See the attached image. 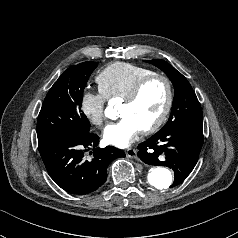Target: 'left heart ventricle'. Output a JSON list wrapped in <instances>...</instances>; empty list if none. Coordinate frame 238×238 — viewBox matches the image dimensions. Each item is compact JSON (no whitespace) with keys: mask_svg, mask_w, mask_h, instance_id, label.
<instances>
[{"mask_svg":"<svg viewBox=\"0 0 238 238\" xmlns=\"http://www.w3.org/2000/svg\"><path fill=\"white\" fill-rule=\"evenodd\" d=\"M167 92L164 83L160 80L151 82L142 92L139 99L130 105L122 104L120 115L131 117L140 127H148L161 114Z\"/></svg>","mask_w":238,"mask_h":238,"instance_id":"1","label":"left heart ventricle"}]
</instances>
